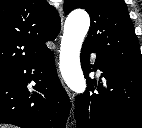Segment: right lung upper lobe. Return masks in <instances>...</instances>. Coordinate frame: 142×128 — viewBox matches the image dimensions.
Listing matches in <instances>:
<instances>
[{"label": "right lung upper lobe", "mask_w": 142, "mask_h": 128, "mask_svg": "<svg viewBox=\"0 0 142 128\" xmlns=\"http://www.w3.org/2000/svg\"><path fill=\"white\" fill-rule=\"evenodd\" d=\"M60 27L46 0H0V78L44 53Z\"/></svg>", "instance_id": "obj_1"}]
</instances>
